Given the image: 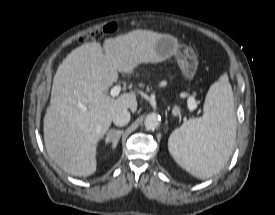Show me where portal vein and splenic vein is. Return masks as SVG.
Instances as JSON below:
<instances>
[{"instance_id":"18ae733b","label":"portal vein and splenic vein","mask_w":275,"mask_h":215,"mask_svg":"<svg viewBox=\"0 0 275 215\" xmlns=\"http://www.w3.org/2000/svg\"><path fill=\"white\" fill-rule=\"evenodd\" d=\"M120 91H121V86L116 85V86H114V87L110 90V95H111L112 97L118 96L119 93H120ZM196 107H197L196 101L194 100V98H193L192 96H190V97L188 98V108H189L190 110H194Z\"/></svg>"}]
</instances>
